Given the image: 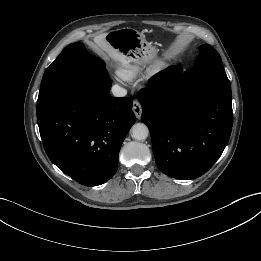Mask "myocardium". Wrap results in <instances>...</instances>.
<instances>
[{
    "label": "myocardium",
    "mask_w": 261,
    "mask_h": 261,
    "mask_svg": "<svg viewBox=\"0 0 261 261\" xmlns=\"http://www.w3.org/2000/svg\"><path fill=\"white\" fill-rule=\"evenodd\" d=\"M166 66H167L166 60H165V59H162V60H160V61L156 64V66H155V71H156V72H159V71L165 69Z\"/></svg>",
    "instance_id": "1"
}]
</instances>
